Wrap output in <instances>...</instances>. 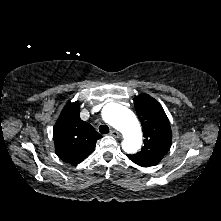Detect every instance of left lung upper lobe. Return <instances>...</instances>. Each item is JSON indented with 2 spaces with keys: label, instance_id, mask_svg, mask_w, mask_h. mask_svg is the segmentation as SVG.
<instances>
[{
  "label": "left lung upper lobe",
  "instance_id": "1",
  "mask_svg": "<svg viewBox=\"0 0 221 221\" xmlns=\"http://www.w3.org/2000/svg\"><path fill=\"white\" fill-rule=\"evenodd\" d=\"M134 105L145 140L140 152L127 156L142 167L156 165L171 147L172 132L169 120L161 105L148 94L136 96Z\"/></svg>",
  "mask_w": 221,
  "mask_h": 221
}]
</instances>
